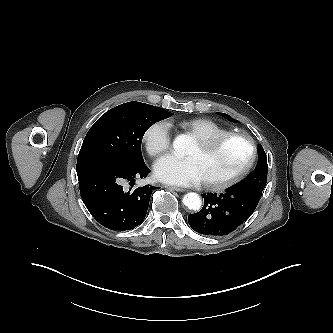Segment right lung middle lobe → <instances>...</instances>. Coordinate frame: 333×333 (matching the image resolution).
Returning a JSON list of instances; mask_svg holds the SVG:
<instances>
[{
    "label": "right lung middle lobe",
    "instance_id": "1",
    "mask_svg": "<svg viewBox=\"0 0 333 333\" xmlns=\"http://www.w3.org/2000/svg\"><path fill=\"white\" fill-rule=\"evenodd\" d=\"M160 107L128 102L103 114L88 131L79 157L106 155L132 164L144 162L141 142L154 123L172 116Z\"/></svg>",
    "mask_w": 333,
    "mask_h": 333
}]
</instances>
